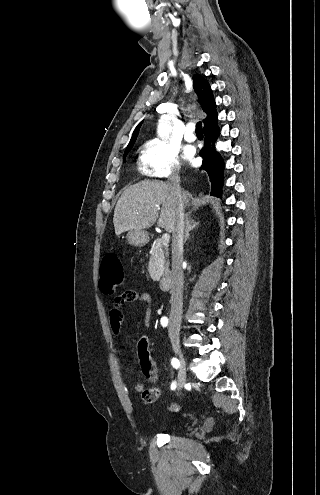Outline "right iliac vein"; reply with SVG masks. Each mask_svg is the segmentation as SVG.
Instances as JSON below:
<instances>
[{"instance_id": "63e3f726", "label": "right iliac vein", "mask_w": 320, "mask_h": 495, "mask_svg": "<svg viewBox=\"0 0 320 495\" xmlns=\"http://www.w3.org/2000/svg\"><path fill=\"white\" fill-rule=\"evenodd\" d=\"M170 339H171L173 349H174L175 353L178 355L179 361H180V367H179L178 375H177V387H178V389H181L186 382V363H185L184 355H183V352H182V349L180 346V339H179L178 333L172 332L170 334Z\"/></svg>"}]
</instances>
